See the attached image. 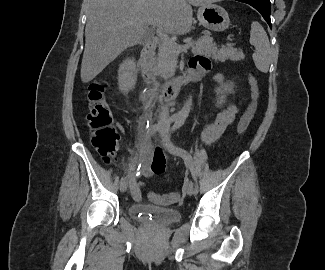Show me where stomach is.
<instances>
[{"label":"stomach","mask_w":325,"mask_h":270,"mask_svg":"<svg viewBox=\"0 0 325 270\" xmlns=\"http://www.w3.org/2000/svg\"><path fill=\"white\" fill-rule=\"evenodd\" d=\"M201 25L212 31H224L230 25L228 13L215 4L201 5L197 12Z\"/></svg>","instance_id":"0dacf381"}]
</instances>
